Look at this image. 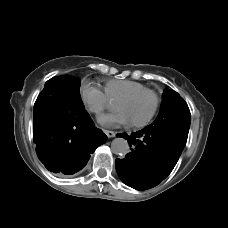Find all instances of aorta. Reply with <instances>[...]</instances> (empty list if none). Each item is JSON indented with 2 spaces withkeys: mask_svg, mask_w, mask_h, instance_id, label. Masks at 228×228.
<instances>
[{
  "mask_svg": "<svg viewBox=\"0 0 228 228\" xmlns=\"http://www.w3.org/2000/svg\"><path fill=\"white\" fill-rule=\"evenodd\" d=\"M111 150L116 155L125 156L130 152V147L127 140L118 137L112 141Z\"/></svg>",
  "mask_w": 228,
  "mask_h": 228,
  "instance_id": "762f6f07",
  "label": "aorta"
}]
</instances>
